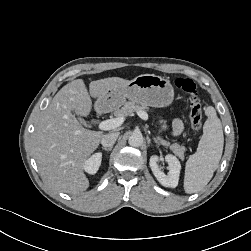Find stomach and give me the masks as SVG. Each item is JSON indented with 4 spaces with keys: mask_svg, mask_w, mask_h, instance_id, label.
I'll list each match as a JSON object with an SVG mask.
<instances>
[{
    "mask_svg": "<svg viewBox=\"0 0 251 251\" xmlns=\"http://www.w3.org/2000/svg\"><path fill=\"white\" fill-rule=\"evenodd\" d=\"M126 99L143 106L166 107L173 102L174 89L167 78L142 74L126 84L107 90L104 97L97 99L96 105L100 109H116Z\"/></svg>",
    "mask_w": 251,
    "mask_h": 251,
    "instance_id": "obj_1",
    "label": "stomach"
}]
</instances>
